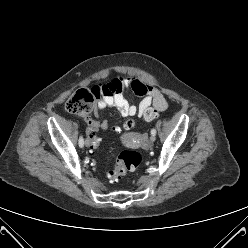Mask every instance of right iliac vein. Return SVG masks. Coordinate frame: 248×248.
Listing matches in <instances>:
<instances>
[{
  "label": "right iliac vein",
  "instance_id": "obj_1",
  "mask_svg": "<svg viewBox=\"0 0 248 248\" xmlns=\"http://www.w3.org/2000/svg\"><path fill=\"white\" fill-rule=\"evenodd\" d=\"M85 145H86V147H88V146H89V142H88V140H86V141H85Z\"/></svg>",
  "mask_w": 248,
  "mask_h": 248
}]
</instances>
